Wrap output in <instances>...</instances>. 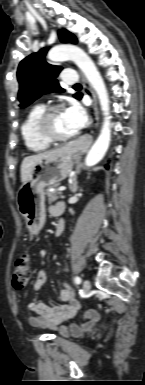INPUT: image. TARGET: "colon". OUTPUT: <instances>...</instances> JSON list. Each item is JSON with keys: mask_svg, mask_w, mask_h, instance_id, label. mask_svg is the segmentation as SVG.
Wrapping results in <instances>:
<instances>
[{"mask_svg": "<svg viewBox=\"0 0 145 385\" xmlns=\"http://www.w3.org/2000/svg\"><path fill=\"white\" fill-rule=\"evenodd\" d=\"M30 276V258L28 255H22L15 262L13 273V286L16 289L25 288L29 282Z\"/></svg>", "mask_w": 145, "mask_h": 385, "instance_id": "colon-1", "label": "colon"}]
</instances>
